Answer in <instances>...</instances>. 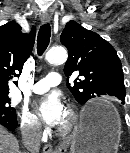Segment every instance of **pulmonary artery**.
Here are the masks:
<instances>
[{
    "label": "pulmonary artery",
    "instance_id": "pulmonary-artery-1",
    "mask_svg": "<svg viewBox=\"0 0 130 153\" xmlns=\"http://www.w3.org/2000/svg\"><path fill=\"white\" fill-rule=\"evenodd\" d=\"M61 83V75L57 72H50L46 77L31 86V91L34 93L46 92L50 87L57 86Z\"/></svg>",
    "mask_w": 130,
    "mask_h": 153
}]
</instances>
